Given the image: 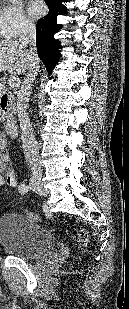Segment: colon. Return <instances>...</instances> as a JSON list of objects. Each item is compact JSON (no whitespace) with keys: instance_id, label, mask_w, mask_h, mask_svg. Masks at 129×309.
Returning <instances> with one entry per match:
<instances>
[{"instance_id":"1","label":"colon","mask_w":129,"mask_h":309,"mask_svg":"<svg viewBox=\"0 0 129 309\" xmlns=\"http://www.w3.org/2000/svg\"><path fill=\"white\" fill-rule=\"evenodd\" d=\"M25 214H26L27 217H29L32 220H35V221L38 220V216L33 212L26 211ZM88 242H89L88 233L84 230H81L78 233V243L80 244V246L85 247V246H87Z\"/></svg>"}]
</instances>
